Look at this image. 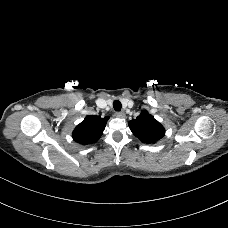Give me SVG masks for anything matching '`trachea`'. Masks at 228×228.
Listing matches in <instances>:
<instances>
[{
  "mask_svg": "<svg viewBox=\"0 0 228 228\" xmlns=\"http://www.w3.org/2000/svg\"><path fill=\"white\" fill-rule=\"evenodd\" d=\"M113 107L115 111H120L122 107L121 102L119 100H115L113 102Z\"/></svg>",
  "mask_w": 228,
  "mask_h": 228,
  "instance_id": "obj_1",
  "label": "trachea"
}]
</instances>
